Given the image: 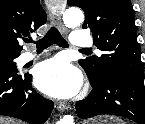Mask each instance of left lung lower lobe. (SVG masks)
Returning a JSON list of instances; mask_svg holds the SVG:
<instances>
[{"instance_id": "1", "label": "left lung lower lobe", "mask_w": 145, "mask_h": 124, "mask_svg": "<svg viewBox=\"0 0 145 124\" xmlns=\"http://www.w3.org/2000/svg\"><path fill=\"white\" fill-rule=\"evenodd\" d=\"M90 80V79H89ZM92 91L76 103L77 114L86 119L109 114L145 124L143 77L127 72H112L98 82L90 80Z\"/></svg>"}]
</instances>
